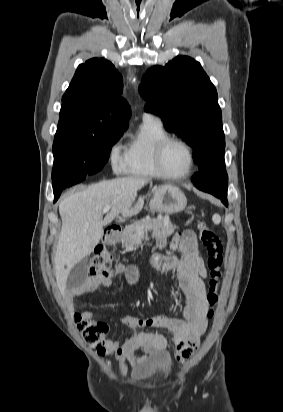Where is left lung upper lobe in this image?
Returning a JSON list of instances; mask_svg holds the SVG:
<instances>
[{
  "label": "left lung upper lobe",
  "instance_id": "5c2ea615",
  "mask_svg": "<svg viewBox=\"0 0 283 412\" xmlns=\"http://www.w3.org/2000/svg\"><path fill=\"white\" fill-rule=\"evenodd\" d=\"M146 110L159 114L165 129L178 134L194 151L199 170L210 168L213 154L223 153L222 114L214 85L200 63L187 56L154 66L140 88Z\"/></svg>",
  "mask_w": 283,
  "mask_h": 412
}]
</instances>
